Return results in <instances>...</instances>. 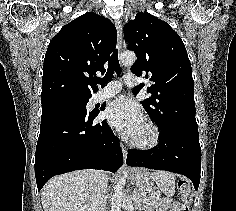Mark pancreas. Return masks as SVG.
<instances>
[{
    "label": "pancreas",
    "instance_id": "1",
    "mask_svg": "<svg viewBox=\"0 0 236 211\" xmlns=\"http://www.w3.org/2000/svg\"><path fill=\"white\" fill-rule=\"evenodd\" d=\"M133 196L135 197V207L139 209V211H151L154 206L158 207L161 204L160 199L152 198L140 189L136 190Z\"/></svg>",
    "mask_w": 236,
    "mask_h": 211
}]
</instances>
